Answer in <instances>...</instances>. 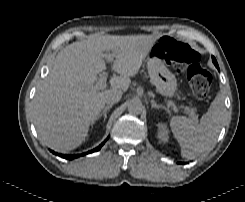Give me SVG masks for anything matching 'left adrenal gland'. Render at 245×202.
Returning a JSON list of instances; mask_svg holds the SVG:
<instances>
[{
	"mask_svg": "<svg viewBox=\"0 0 245 202\" xmlns=\"http://www.w3.org/2000/svg\"><path fill=\"white\" fill-rule=\"evenodd\" d=\"M151 108L165 109L162 105H158L154 100H151Z\"/></svg>",
	"mask_w": 245,
	"mask_h": 202,
	"instance_id": "obj_1",
	"label": "left adrenal gland"
}]
</instances>
